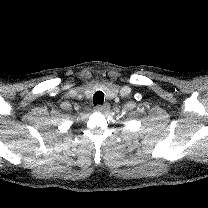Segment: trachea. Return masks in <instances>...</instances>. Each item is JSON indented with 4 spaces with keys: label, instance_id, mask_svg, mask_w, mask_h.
<instances>
[{
    "label": "trachea",
    "instance_id": "3493384b",
    "mask_svg": "<svg viewBox=\"0 0 208 208\" xmlns=\"http://www.w3.org/2000/svg\"><path fill=\"white\" fill-rule=\"evenodd\" d=\"M103 102H104V93L102 91H97L93 96L94 106L101 105L103 104Z\"/></svg>",
    "mask_w": 208,
    "mask_h": 208
}]
</instances>
